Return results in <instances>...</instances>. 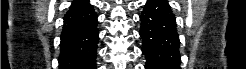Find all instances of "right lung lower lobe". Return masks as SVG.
I'll return each instance as SVG.
<instances>
[{
    "label": "right lung lower lobe",
    "mask_w": 246,
    "mask_h": 69,
    "mask_svg": "<svg viewBox=\"0 0 246 69\" xmlns=\"http://www.w3.org/2000/svg\"><path fill=\"white\" fill-rule=\"evenodd\" d=\"M97 15L88 0H74L64 17L60 69H95Z\"/></svg>",
    "instance_id": "right-lung-lower-lobe-1"
}]
</instances>
